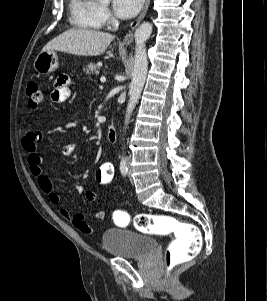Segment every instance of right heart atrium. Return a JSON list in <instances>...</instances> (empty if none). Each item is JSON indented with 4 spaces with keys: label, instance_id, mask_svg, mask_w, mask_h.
Segmentation results:
<instances>
[{
    "label": "right heart atrium",
    "instance_id": "obj_1",
    "mask_svg": "<svg viewBox=\"0 0 267 301\" xmlns=\"http://www.w3.org/2000/svg\"><path fill=\"white\" fill-rule=\"evenodd\" d=\"M99 16L103 24H106L110 21V12L108 8L104 5L99 6Z\"/></svg>",
    "mask_w": 267,
    "mask_h": 301
}]
</instances>
